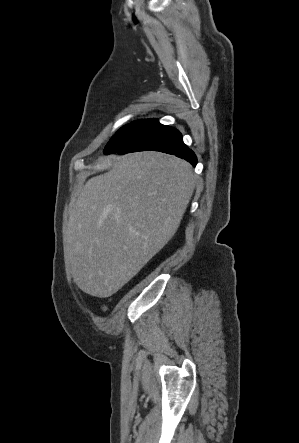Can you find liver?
<instances>
[{
  "label": "liver",
  "instance_id": "obj_1",
  "mask_svg": "<svg viewBox=\"0 0 299 443\" xmlns=\"http://www.w3.org/2000/svg\"><path fill=\"white\" fill-rule=\"evenodd\" d=\"M194 188L192 166L160 152L119 156L89 179L69 213L76 285L99 298L121 289L174 236Z\"/></svg>",
  "mask_w": 299,
  "mask_h": 443
}]
</instances>
